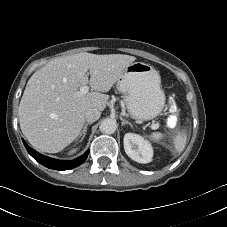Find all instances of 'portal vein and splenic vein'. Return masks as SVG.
Wrapping results in <instances>:
<instances>
[{
  "mask_svg": "<svg viewBox=\"0 0 227 227\" xmlns=\"http://www.w3.org/2000/svg\"><path fill=\"white\" fill-rule=\"evenodd\" d=\"M88 91H89V87L87 85H84L80 88L79 94L84 95V94L88 93ZM159 126L160 125L158 123H156V124H152L150 127H151V129L156 130L159 128Z\"/></svg>",
  "mask_w": 227,
  "mask_h": 227,
  "instance_id": "obj_1",
  "label": "portal vein and splenic vein"
}]
</instances>
